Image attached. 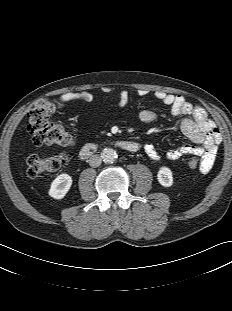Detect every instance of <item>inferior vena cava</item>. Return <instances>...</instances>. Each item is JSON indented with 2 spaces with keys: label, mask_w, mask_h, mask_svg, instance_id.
Masks as SVG:
<instances>
[{
  "label": "inferior vena cava",
  "mask_w": 232,
  "mask_h": 311,
  "mask_svg": "<svg viewBox=\"0 0 232 311\" xmlns=\"http://www.w3.org/2000/svg\"><path fill=\"white\" fill-rule=\"evenodd\" d=\"M101 162H102V158L99 155H92L89 158V165L91 167H98L100 166Z\"/></svg>",
  "instance_id": "obj_1"
}]
</instances>
